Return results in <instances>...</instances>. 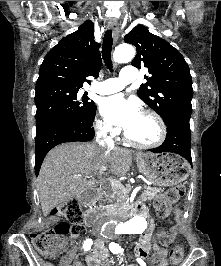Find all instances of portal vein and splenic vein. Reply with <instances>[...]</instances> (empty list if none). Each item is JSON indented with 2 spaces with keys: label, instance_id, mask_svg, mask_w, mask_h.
I'll list each match as a JSON object with an SVG mask.
<instances>
[{
  "label": "portal vein and splenic vein",
  "instance_id": "18ae733b",
  "mask_svg": "<svg viewBox=\"0 0 221 266\" xmlns=\"http://www.w3.org/2000/svg\"><path fill=\"white\" fill-rule=\"evenodd\" d=\"M107 168L106 167H101L100 168V172L99 175H101ZM74 177H80V175H75ZM107 180L109 181V183L113 186L116 187L120 190L125 191V187L121 184V182L117 181L116 179H113L111 177H108Z\"/></svg>",
  "mask_w": 221,
  "mask_h": 266
}]
</instances>
